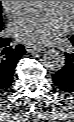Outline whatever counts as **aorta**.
I'll use <instances>...</instances> for the list:
<instances>
[{"mask_svg": "<svg viewBox=\"0 0 74 122\" xmlns=\"http://www.w3.org/2000/svg\"><path fill=\"white\" fill-rule=\"evenodd\" d=\"M32 7L41 8L46 1H30ZM43 65L51 71L61 70L65 65V56L58 50H48L43 55Z\"/></svg>", "mask_w": 74, "mask_h": 122, "instance_id": "obj_1", "label": "aorta"}]
</instances>
